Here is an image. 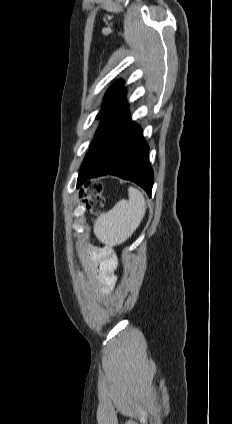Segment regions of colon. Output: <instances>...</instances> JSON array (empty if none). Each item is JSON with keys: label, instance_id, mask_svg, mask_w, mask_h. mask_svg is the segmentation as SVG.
Wrapping results in <instances>:
<instances>
[{"label": "colon", "instance_id": "colon-1", "mask_svg": "<svg viewBox=\"0 0 232 424\" xmlns=\"http://www.w3.org/2000/svg\"><path fill=\"white\" fill-rule=\"evenodd\" d=\"M80 198L92 216H99L103 212V186L100 182H90L80 193Z\"/></svg>", "mask_w": 232, "mask_h": 424}]
</instances>
